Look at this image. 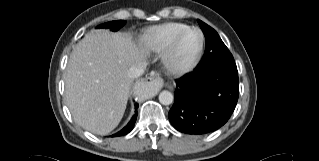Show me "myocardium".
<instances>
[{"mask_svg": "<svg viewBox=\"0 0 319 161\" xmlns=\"http://www.w3.org/2000/svg\"><path fill=\"white\" fill-rule=\"evenodd\" d=\"M191 30H196L200 34L199 47H198L197 52L195 53V55L193 56V58L191 60H189L186 63L181 64V63L177 62V60L175 58L176 47H177L180 39L182 38V36ZM204 41H205L204 34L199 27L190 26V27H186V28L180 30L179 32H177L173 36L169 46L167 47L164 58H163V61H164V64H165L167 71L171 74H174V75H182V74L189 72L197 64V62L202 54L203 47H204Z\"/></svg>", "mask_w": 319, "mask_h": 161, "instance_id": "myocardium-1", "label": "myocardium"}]
</instances>
